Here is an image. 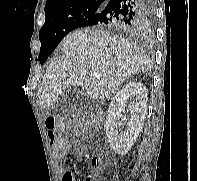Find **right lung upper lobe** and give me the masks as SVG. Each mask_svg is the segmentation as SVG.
I'll return each instance as SVG.
<instances>
[{
	"instance_id": "obj_1",
	"label": "right lung upper lobe",
	"mask_w": 197,
	"mask_h": 181,
	"mask_svg": "<svg viewBox=\"0 0 197 181\" xmlns=\"http://www.w3.org/2000/svg\"><path fill=\"white\" fill-rule=\"evenodd\" d=\"M108 1L109 0H48L45 6V16L84 5L104 6Z\"/></svg>"
}]
</instances>
